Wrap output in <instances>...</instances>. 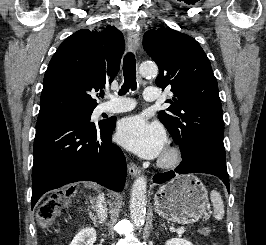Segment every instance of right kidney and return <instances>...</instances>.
<instances>
[{
	"label": "right kidney",
	"mask_w": 266,
	"mask_h": 245,
	"mask_svg": "<svg viewBox=\"0 0 266 245\" xmlns=\"http://www.w3.org/2000/svg\"><path fill=\"white\" fill-rule=\"evenodd\" d=\"M95 241V229H93V227H87V229H81V231L75 235L70 245H94Z\"/></svg>",
	"instance_id": "obj_1"
}]
</instances>
